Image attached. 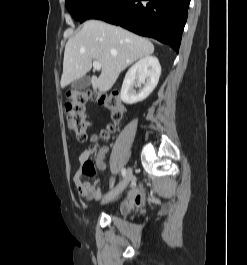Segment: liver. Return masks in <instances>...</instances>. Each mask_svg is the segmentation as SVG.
Here are the masks:
<instances>
[{"label":"liver","instance_id":"1","mask_svg":"<svg viewBox=\"0 0 247 265\" xmlns=\"http://www.w3.org/2000/svg\"><path fill=\"white\" fill-rule=\"evenodd\" d=\"M154 52L153 44L121 27L98 20H88L65 46L61 87L86 75L92 61L101 64L99 77L93 75L94 91H109L120 73L133 62Z\"/></svg>","mask_w":247,"mask_h":265}]
</instances>
